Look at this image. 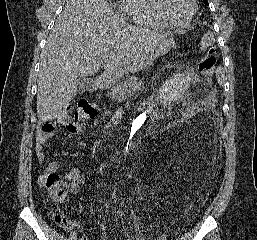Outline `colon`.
<instances>
[{
	"label": "colon",
	"instance_id": "colon-1",
	"mask_svg": "<svg viewBox=\"0 0 257 240\" xmlns=\"http://www.w3.org/2000/svg\"><path fill=\"white\" fill-rule=\"evenodd\" d=\"M215 39L213 34L206 33L200 40L198 52L201 58L199 61V70L206 77H213L216 67V55L214 50ZM97 114V106L89 101H80L76 107L74 120L69 125L73 128H80L87 120ZM56 126L54 123L47 122L40 126V131L52 133ZM42 183L47 188L50 198L55 202H62L68 194V185L65 180L56 173L47 174L42 178ZM55 223L61 227H68V220L61 214H54Z\"/></svg>",
	"mask_w": 257,
	"mask_h": 240
}]
</instances>
